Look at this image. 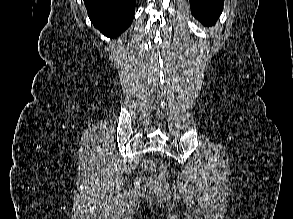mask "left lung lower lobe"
<instances>
[{
	"label": "left lung lower lobe",
	"instance_id": "1",
	"mask_svg": "<svg viewBox=\"0 0 293 219\" xmlns=\"http://www.w3.org/2000/svg\"><path fill=\"white\" fill-rule=\"evenodd\" d=\"M224 0H190L192 14L205 26L214 25L223 10Z\"/></svg>",
	"mask_w": 293,
	"mask_h": 219
}]
</instances>
